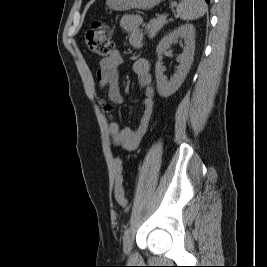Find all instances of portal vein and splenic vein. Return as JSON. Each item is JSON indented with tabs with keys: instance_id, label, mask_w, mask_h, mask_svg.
Here are the masks:
<instances>
[{
	"instance_id": "1",
	"label": "portal vein and splenic vein",
	"mask_w": 267,
	"mask_h": 267,
	"mask_svg": "<svg viewBox=\"0 0 267 267\" xmlns=\"http://www.w3.org/2000/svg\"><path fill=\"white\" fill-rule=\"evenodd\" d=\"M167 16H168V14H166V13L161 15V17H163V18H166Z\"/></svg>"
}]
</instances>
